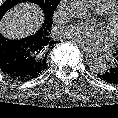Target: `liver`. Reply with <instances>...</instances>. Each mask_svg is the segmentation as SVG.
<instances>
[{
  "label": "liver",
  "instance_id": "liver-1",
  "mask_svg": "<svg viewBox=\"0 0 118 118\" xmlns=\"http://www.w3.org/2000/svg\"><path fill=\"white\" fill-rule=\"evenodd\" d=\"M43 21L38 6L22 3L6 13L0 23V31L7 38L20 39L37 31Z\"/></svg>",
  "mask_w": 118,
  "mask_h": 118
}]
</instances>
